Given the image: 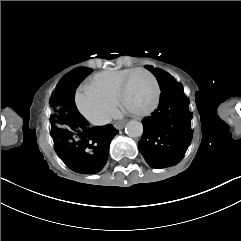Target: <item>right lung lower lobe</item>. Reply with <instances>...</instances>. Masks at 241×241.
Wrapping results in <instances>:
<instances>
[{
	"instance_id": "1",
	"label": "right lung lower lobe",
	"mask_w": 241,
	"mask_h": 241,
	"mask_svg": "<svg viewBox=\"0 0 241 241\" xmlns=\"http://www.w3.org/2000/svg\"><path fill=\"white\" fill-rule=\"evenodd\" d=\"M88 74L89 69L83 68L65 78L66 88L72 94L65 99V106L74 135L70 139H53L60 159L68 168L82 174H94L102 170L108 158L111 140L118 133L110 124L90 127L89 122L77 110L74 102L75 89Z\"/></svg>"
}]
</instances>
